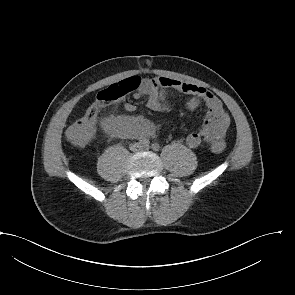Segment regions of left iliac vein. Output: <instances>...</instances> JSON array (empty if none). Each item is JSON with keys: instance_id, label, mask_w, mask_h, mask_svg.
<instances>
[{"instance_id": "left-iliac-vein-1", "label": "left iliac vein", "mask_w": 295, "mask_h": 295, "mask_svg": "<svg viewBox=\"0 0 295 295\" xmlns=\"http://www.w3.org/2000/svg\"><path fill=\"white\" fill-rule=\"evenodd\" d=\"M149 148H150L149 146H145L144 147L145 150H149Z\"/></svg>"}]
</instances>
